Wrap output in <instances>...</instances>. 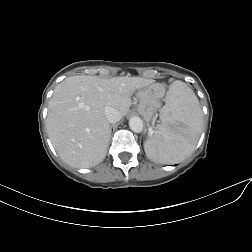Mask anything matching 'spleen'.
I'll use <instances>...</instances> for the list:
<instances>
[{
  "instance_id": "spleen-1",
  "label": "spleen",
  "mask_w": 252,
  "mask_h": 252,
  "mask_svg": "<svg viewBox=\"0 0 252 252\" xmlns=\"http://www.w3.org/2000/svg\"><path fill=\"white\" fill-rule=\"evenodd\" d=\"M161 110L162 123L144 143L147 156L158 163H178L196 147L203 119L199 100L183 82H173ZM169 126H172L171 130Z\"/></svg>"
}]
</instances>
